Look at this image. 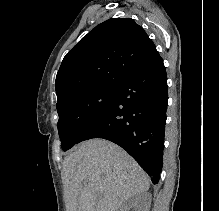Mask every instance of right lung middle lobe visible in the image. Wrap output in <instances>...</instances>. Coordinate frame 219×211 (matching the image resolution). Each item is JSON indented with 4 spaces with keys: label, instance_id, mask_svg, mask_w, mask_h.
<instances>
[{
    "label": "right lung middle lobe",
    "instance_id": "1",
    "mask_svg": "<svg viewBox=\"0 0 219 211\" xmlns=\"http://www.w3.org/2000/svg\"><path fill=\"white\" fill-rule=\"evenodd\" d=\"M115 86H98L57 104L58 131L64 151L75 144L85 129L109 106Z\"/></svg>",
    "mask_w": 219,
    "mask_h": 211
}]
</instances>
